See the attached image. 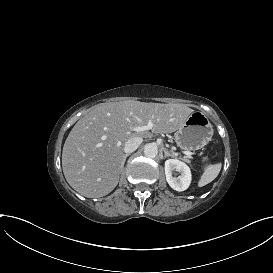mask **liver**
I'll return each instance as SVG.
<instances>
[{"mask_svg":"<svg viewBox=\"0 0 273 273\" xmlns=\"http://www.w3.org/2000/svg\"><path fill=\"white\" fill-rule=\"evenodd\" d=\"M192 112L185 104L134 100L93 106L64 143L62 168L67 182L88 198L109 194L117 186L125 163V143L132 137L152 136L148 131L133 132L134 127L152 122V133H172Z\"/></svg>","mask_w":273,"mask_h":273,"instance_id":"obj_1","label":"liver"}]
</instances>
